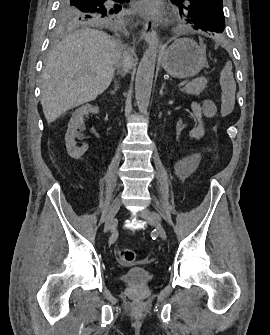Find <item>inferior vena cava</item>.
I'll use <instances>...</instances> for the list:
<instances>
[{
  "label": "inferior vena cava",
  "mask_w": 270,
  "mask_h": 335,
  "mask_svg": "<svg viewBox=\"0 0 270 335\" xmlns=\"http://www.w3.org/2000/svg\"><path fill=\"white\" fill-rule=\"evenodd\" d=\"M127 68L128 66H126V64H122L121 68H119V70H121V72H127Z\"/></svg>",
  "instance_id": "1"
}]
</instances>
